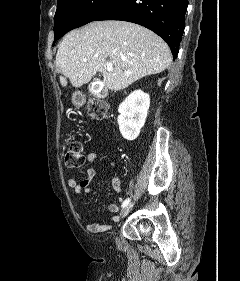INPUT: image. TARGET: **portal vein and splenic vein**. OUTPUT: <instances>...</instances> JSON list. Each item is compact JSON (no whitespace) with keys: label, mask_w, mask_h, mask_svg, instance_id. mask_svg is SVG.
<instances>
[{"label":"portal vein and splenic vein","mask_w":240,"mask_h":281,"mask_svg":"<svg viewBox=\"0 0 240 281\" xmlns=\"http://www.w3.org/2000/svg\"><path fill=\"white\" fill-rule=\"evenodd\" d=\"M84 61H86V60H84ZM106 69H107L108 71H112V69H113L112 63H108Z\"/></svg>","instance_id":"18ae733b"}]
</instances>
